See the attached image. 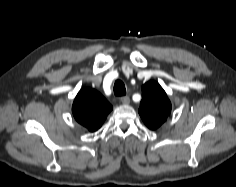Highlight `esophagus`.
Instances as JSON below:
<instances>
[{
    "instance_id": "34e87169",
    "label": "esophagus",
    "mask_w": 236,
    "mask_h": 187,
    "mask_svg": "<svg viewBox=\"0 0 236 187\" xmlns=\"http://www.w3.org/2000/svg\"><path fill=\"white\" fill-rule=\"evenodd\" d=\"M122 104L128 105L130 103V98L128 96H123L120 98Z\"/></svg>"
}]
</instances>
